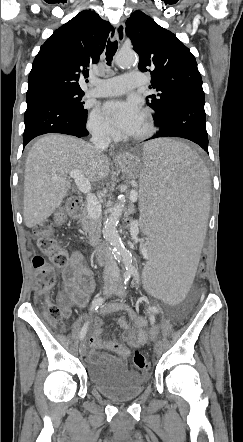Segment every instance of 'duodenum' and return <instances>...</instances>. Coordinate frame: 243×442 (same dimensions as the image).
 Instances as JSON below:
<instances>
[{"mask_svg":"<svg viewBox=\"0 0 243 442\" xmlns=\"http://www.w3.org/2000/svg\"><path fill=\"white\" fill-rule=\"evenodd\" d=\"M81 201L78 198L70 199L68 201L67 213L75 216L80 209ZM93 258L98 264H103L107 261V252L104 248L98 247L93 252Z\"/></svg>","mask_w":243,"mask_h":442,"instance_id":"410a0bca","label":"duodenum"}]
</instances>
